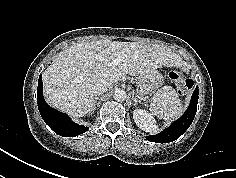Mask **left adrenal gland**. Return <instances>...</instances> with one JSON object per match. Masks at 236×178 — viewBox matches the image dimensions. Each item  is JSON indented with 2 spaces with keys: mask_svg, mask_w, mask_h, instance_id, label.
I'll use <instances>...</instances> for the list:
<instances>
[{
  "mask_svg": "<svg viewBox=\"0 0 236 178\" xmlns=\"http://www.w3.org/2000/svg\"><path fill=\"white\" fill-rule=\"evenodd\" d=\"M132 99L134 101V105H137L138 103L142 104V102L138 98H136L134 95L132 96Z\"/></svg>",
  "mask_w": 236,
  "mask_h": 178,
  "instance_id": "obj_1",
  "label": "left adrenal gland"
}]
</instances>
